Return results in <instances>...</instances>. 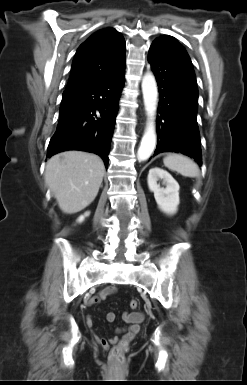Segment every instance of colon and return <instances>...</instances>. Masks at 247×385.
Instances as JSON below:
<instances>
[{"label": "colon", "instance_id": "5ec220e1", "mask_svg": "<svg viewBox=\"0 0 247 385\" xmlns=\"http://www.w3.org/2000/svg\"><path fill=\"white\" fill-rule=\"evenodd\" d=\"M138 301L133 300L130 302V307L131 309H136L138 308ZM128 346V341L127 340H122L117 346L113 347L111 352H110V357L113 363H120L124 354L125 349Z\"/></svg>", "mask_w": 247, "mask_h": 385}]
</instances>
